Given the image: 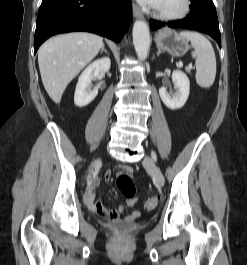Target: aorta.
Masks as SVG:
<instances>
[{
  "label": "aorta",
  "mask_w": 247,
  "mask_h": 265,
  "mask_svg": "<svg viewBox=\"0 0 247 265\" xmlns=\"http://www.w3.org/2000/svg\"><path fill=\"white\" fill-rule=\"evenodd\" d=\"M133 43L140 60L146 59L150 46L149 27L145 21L137 20L133 26Z\"/></svg>",
  "instance_id": "aorta-1"
}]
</instances>
